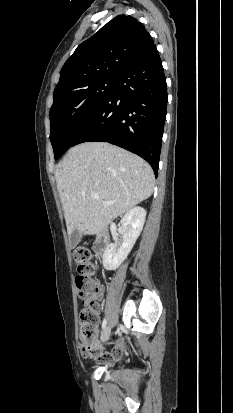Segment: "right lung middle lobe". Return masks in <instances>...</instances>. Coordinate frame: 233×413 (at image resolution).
<instances>
[{"label":"right lung middle lobe","instance_id":"right-lung-middle-lobe-1","mask_svg":"<svg viewBox=\"0 0 233 413\" xmlns=\"http://www.w3.org/2000/svg\"><path fill=\"white\" fill-rule=\"evenodd\" d=\"M115 78L94 81L53 102L50 109V140L58 159L104 104Z\"/></svg>","mask_w":233,"mask_h":413}]
</instances>
